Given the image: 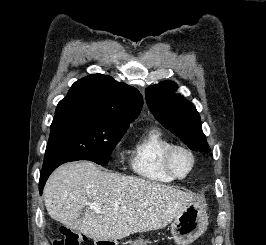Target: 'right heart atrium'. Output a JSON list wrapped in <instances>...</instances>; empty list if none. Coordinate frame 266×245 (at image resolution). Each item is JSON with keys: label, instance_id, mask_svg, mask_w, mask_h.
Here are the masks:
<instances>
[{"label": "right heart atrium", "instance_id": "1", "mask_svg": "<svg viewBox=\"0 0 266 245\" xmlns=\"http://www.w3.org/2000/svg\"><path fill=\"white\" fill-rule=\"evenodd\" d=\"M123 138H119V139H117V141H116V143L118 144V145H120V144H122L123 143Z\"/></svg>", "mask_w": 266, "mask_h": 245}]
</instances>
